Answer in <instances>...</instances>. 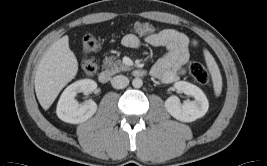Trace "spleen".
Here are the masks:
<instances>
[{"label": "spleen", "instance_id": "3e777b00", "mask_svg": "<svg viewBox=\"0 0 267 166\" xmlns=\"http://www.w3.org/2000/svg\"><path fill=\"white\" fill-rule=\"evenodd\" d=\"M206 62L212 76L215 94L218 96L222 90V77L220 70L210 54H206Z\"/></svg>", "mask_w": 267, "mask_h": 166}]
</instances>
